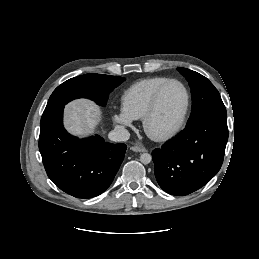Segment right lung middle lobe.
Wrapping results in <instances>:
<instances>
[{
    "instance_id": "1",
    "label": "right lung middle lobe",
    "mask_w": 259,
    "mask_h": 259,
    "mask_svg": "<svg viewBox=\"0 0 259 259\" xmlns=\"http://www.w3.org/2000/svg\"><path fill=\"white\" fill-rule=\"evenodd\" d=\"M125 78L103 74H84L59 85L50 96L44 113H49L73 99L88 98L105 106L110 92Z\"/></svg>"
}]
</instances>
